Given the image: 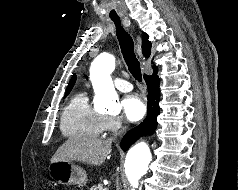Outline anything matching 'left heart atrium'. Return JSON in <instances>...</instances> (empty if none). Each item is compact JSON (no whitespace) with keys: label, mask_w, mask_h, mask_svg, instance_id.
Instances as JSON below:
<instances>
[{"label":"left heart atrium","mask_w":238,"mask_h":190,"mask_svg":"<svg viewBox=\"0 0 238 190\" xmlns=\"http://www.w3.org/2000/svg\"><path fill=\"white\" fill-rule=\"evenodd\" d=\"M124 116L132 122L142 119L146 113V106L138 95H128L122 101Z\"/></svg>","instance_id":"1"}]
</instances>
